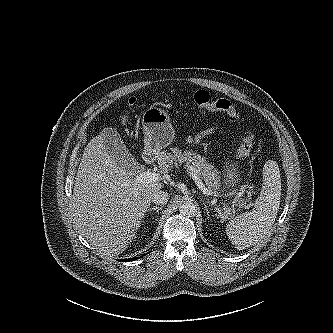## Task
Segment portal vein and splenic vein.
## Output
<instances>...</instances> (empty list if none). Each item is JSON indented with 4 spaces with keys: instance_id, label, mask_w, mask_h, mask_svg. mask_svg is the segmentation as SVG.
<instances>
[{
    "instance_id": "1",
    "label": "portal vein and splenic vein",
    "mask_w": 333,
    "mask_h": 333,
    "mask_svg": "<svg viewBox=\"0 0 333 333\" xmlns=\"http://www.w3.org/2000/svg\"><path fill=\"white\" fill-rule=\"evenodd\" d=\"M185 169H186V171H188V173L193 178L196 185L203 192V194L217 196L216 192H213L211 189L205 187L203 181L201 180V178L199 176V171L194 166L188 165L185 167ZM134 180L137 182H159L162 180V176L160 173H157V172L146 171V172H142V173L136 175ZM240 196H241V193L238 191L236 193V197H240ZM240 205L242 207H246L244 202H242Z\"/></svg>"
}]
</instances>
